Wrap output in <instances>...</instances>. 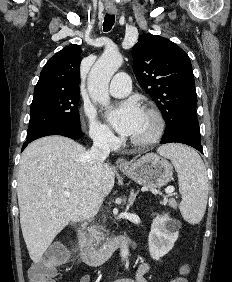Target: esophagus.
<instances>
[{
	"label": "esophagus",
	"mask_w": 232,
	"mask_h": 282,
	"mask_svg": "<svg viewBox=\"0 0 232 282\" xmlns=\"http://www.w3.org/2000/svg\"><path fill=\"white\" fill-rule=\"evenodd\" d=\"M110 13L111 14H116L117 11L116 10H111ZM116 165L119 168H129V166H130L128 161L126 159H124V158H118L116 160Z\"/></svg>",
	"instance_id": "esophagus-1"
}]
</instances>
